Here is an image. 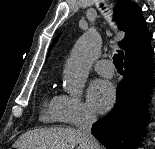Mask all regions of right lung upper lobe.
I'll return each mask as SVG.
<instances>
[{"instance_id":"1","label":"right lung upper lobe","mask_w":155,"mask_h":149,"mask_svg":"<svg viewBox=\"0 0 155 149\" xmlns=\"http://www.w3.org/2000/svg\"><path fill=\"white\" fill-rule=\"evenodd\" d=\"M114 18L119 29L125 32V38L119 42L120 47L125 50L124 63L141 61L152 56L153 49L150 46L152 35L147 30L141 8L131 0H118ZM57 39L58 37L54 42Z\"/></svg>"}]
</instances>
